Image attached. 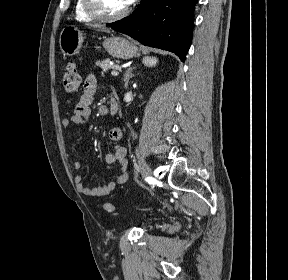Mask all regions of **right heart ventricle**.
I'll use <instances>...</instances> for the list:
<instances>
[{"instance_id": "1", "label": "right heart ventricle", "mask_w": 288, "mask_h": 280, "mask_svg": "<svg viewBox=\"0 0 288 280\" xmlns=\"http://www.w3.org/2000/svg\"><path fill=\"white\" fill-rule=\"evenodd\" d=\"M75 18L81 22H93L95 19L91 17L85 10L83 0H76L74 6Z\"/></svg>"}]
</instances>
